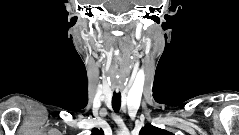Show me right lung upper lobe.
<instances>
[{
	"mask_svg": "<svg viewBox=\"0 0 239 135\" xmlns=\"http://www.w3.org/2000/svg\"><path fill=\"white\" fill-rule=\"evenodd\" d=\"M91 135H104V132H103V130L102 129H97V128H94L93 130H92V134Z\"/></svg>",
	"mask_w": 239,
	"mask_h": 135,
	"instance_id": "1",
	"label": "right lung upper lobe"
}]
</instances>
